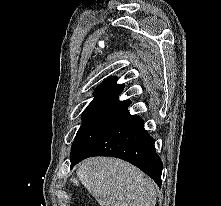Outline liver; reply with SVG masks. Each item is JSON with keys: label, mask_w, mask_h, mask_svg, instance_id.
Instances as JSON below:
<instances>
[{"label": "liver", "mask_w": 221, "mask_h": 206, "mask_svg": "<svg viewBox=\"0 0 221 206\" xmlns=\"http://www.w3.org/2000/svg\"><path fill=\"white\" fill-rule=\"evenodd\" d=\"M79 181L100 206H155L156 190L152 179L135 166L116 158L95 157L77 168Z\"/></svg>", "instance_id": "obj_1"}]
</instances>
